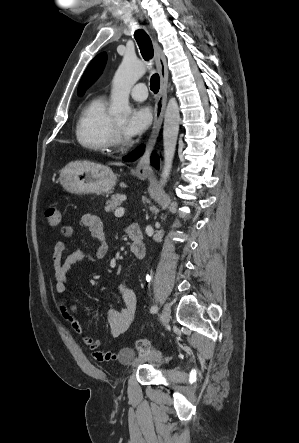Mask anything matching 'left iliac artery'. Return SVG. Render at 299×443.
I'll use <instances>...</instances> for the list:
<instances>
[{"instance_id": "obj_1", "label": "left iliac artery", "mask_w": 299, "mask_h": 443, "mask_svg": "<svg viewBox=\"0 0 299 443\" xmlns=\"http://www.w3.org/2000/svg\"><path fill=\"white\" fill-rule=\"evenodd\" d=\"M157 311H158V307L156 305L152 306L151 309H150L151 313H156Z\"/></svg>"}]
</instances>
